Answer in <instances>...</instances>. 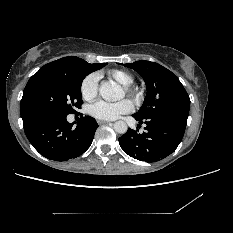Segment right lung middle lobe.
<instances>
[{
	"label": "right lung middle lobe",
	"mask_w": 233,
	"mask_h": 233,
	"mask_svg": "<svg viewBox=\"0 0 233 233\" xmlns=\"http://www.w3.org/2000/svg\"><path fill=\"white\" fill-rule=\"evenodd\" d=\"M106 63L89 64L80 60L66 71H43L28 81L21 100V117L27 125L52 115L75 113L82 104L81 84L91 72Z\"/></svg>",
	"instance_id": "dd1d6c3e"
}]
</instances>
